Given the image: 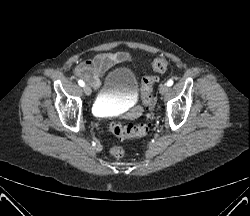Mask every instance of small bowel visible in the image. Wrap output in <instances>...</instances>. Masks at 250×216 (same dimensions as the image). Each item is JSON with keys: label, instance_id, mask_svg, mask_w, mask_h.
<instances>
[{"label": "small bowel", "instance_id": "c3829d8e", "mask_svg": "<svg viewBox=\"0 0 250 216\" xmlns=\"http://www.w3.org/2000/svg\"><path fill=\"white\" fill-rule=\"evenodd\" d=\"M130 56L125 52H110L97 55L80 63L75 74L88 82L93 88L101 86V76L117 64L128 62Z\"/></svg>", "mask_w": 250, "mask_h": 216}]
</instances>
